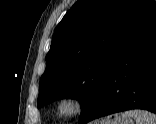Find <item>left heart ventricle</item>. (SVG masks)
<instances>
[{"label": "left heart ventricle", "mask_w": 156, "mask_h": 124, "mask_svg": "<svg viewBox=\"0 0 156 124\" xmlns=\"http://www.w3.org/2000/svg\"><path fill=\"white\" fill-rule=\"evenodd\" d=\"M71 109V105L70 104H64L63 105V110L64 111H68V110H70Z\"/></svg>", "instance_id": "obj_1"}]
</instances>
